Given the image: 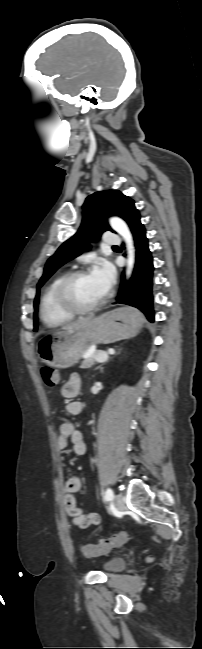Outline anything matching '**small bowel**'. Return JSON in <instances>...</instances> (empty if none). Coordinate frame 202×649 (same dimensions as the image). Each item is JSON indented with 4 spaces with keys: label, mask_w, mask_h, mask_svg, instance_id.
<instances>
[{
    "label": "small bowel",
    "mask_w": 202,
    "mask_h": 649,
    "mask_svg": "<svg viewBox=\"0 0 202 649\" xmlns=\"http://www.w3.org/2000/svg\"><path fill=\"white\" fill-rule=\"evenodd\" d=\"M80 388V378L77 374H73L62 386L61 393L66 398H74L78 395ZM65 409L70 415L78 416L83 411V404L79 401L71 400L66 404ZM69 442H71L73 452L76 455H84L86 453V444L83 440L82 433L75 428L73 423L64 422L59 428L56 441L57 448L63 451L68 447ZM81 484V479L76 474L66 480L63 486L65 493L63 505L65 511L71 518L73 525L78 528L86 529L91 526H98L101 523V516L95 512L84 513L76 504L74 494L80 491Z\"/></svg>",
    "instance_id": "c3829d8e"
}]
</instances>
